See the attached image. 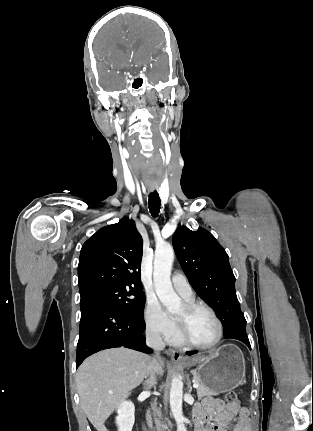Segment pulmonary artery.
I'll return each instance as SVG.
<instances>
[{
	"mask_svg": "<svg viewBox=\"0 0 313 431\" xmlns=\"http://www.w3.org/2000/svg\"><path fill=\"white\" fill-rule=\"evenodd\" d=\"M172 285L175 291L185 299L194 297L193 289L185 276L181 273H174L172 276Z\"/></svg>",
	"mask_w": 313,
	"mask_h": 431,
	"instance_id": "obj_1",
	"label": "pulmonary artery"
}]
</instances>
